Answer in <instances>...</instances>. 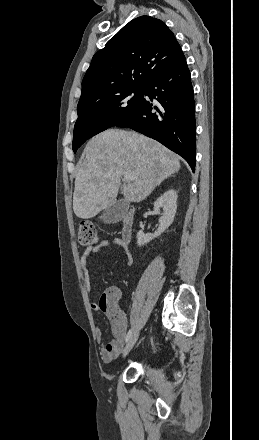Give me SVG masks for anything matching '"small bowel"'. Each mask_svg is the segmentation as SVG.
I'll return each instance as SVG.
<instances>
[{
    "label": "small bowel",
    "mask_w": 259,
    "mask_h": 440,
    "mask_svg": "<svg viewBox=\"0 0 259 440\" xmlns=\"http://www.w3.org/2000/svg\"><path fill=\"white\" fill-rule=\"evenodd\" d=\"M120 246L125 249L127 255V262L131 264L133 259L130 251L128 250V243L122 238L114 237L102 240L95 247H88L81 256L80 264L84 275V284L86 291L90 293L91 284L89 279V260L92 255L97 253L101 248ZM120 297V291L116 287L108 289L99 300L91 303V308L95 311L103 312L110 321L113 340L107 344H103L100 348L101 357L105 362L114 360L121 352L124 339H126L127 320L118 307L117 301ZM96 336L99 340L102 338V332L100 329L96 330Z\"/></svg>",
    "instance_id": "1"
}]
</instances>
